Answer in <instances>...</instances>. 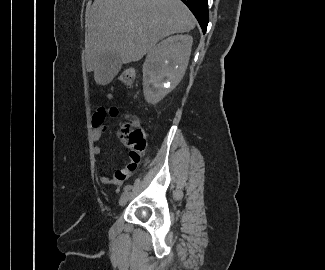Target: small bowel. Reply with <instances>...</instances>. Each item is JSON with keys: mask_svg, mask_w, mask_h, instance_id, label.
<instances>
[{"mask_svg": "<svg viewBox=\"0 0 325 270\" xmlns=\"http://www.w3.org/2000/svg\"><path fill=\"white\" fill-rule=\"evenodd\" d=\"M119 116V109L116 106H111L109 108H100L93 121V127L91 130V139L94 143L93 145V155L97 159L101 155V148L96 144L100 141L104 127L101 125L103 120L108 117L109 119H116ZM130 158V154H129ZM134 168H128L127 165L125 167L119 168L113 178L100 173L99 178L103 184L106 185H120L124 179L129 177Z\"/></svg>", "mask_w": 325, "mask_h": 270, "instance_id": "obj_1", "label": "small bowel"}]
</instances>
